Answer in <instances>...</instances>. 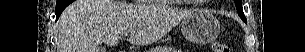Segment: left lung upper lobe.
I'll return each mask as SVG.
<instances>
[{"label":"left lung upper lobe","mask_w":305,"mask_h":52,"mask_svg":"<svg viewBox=\"0 0 305 52\" xmlns=\"http://www.w3.org/2000/svg\"><path fill=\"white\" fill-rule=\"evenodd\" d=\"M241 2H242V0H236V1H235V3H236V9H237V11H238V15H239L242 19H246L245 16H244L242 7H241Z\"/></svg>","instance_id":"obj_1"}]
</instances>
